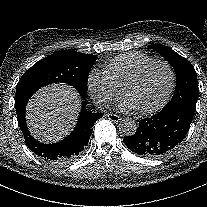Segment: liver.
I'll return each mask as SVG.
<instances>
[{
    "label": "liver",
    "mask_w": 207,
    "mask_h": 207,
    "mask_svg": "<svg viewBox=\"0 0 207 207\" xmlns=\"http://www.w3.org/2000/svg\"><path fill=\"white\" fill-rule=\"evenodd\" d=\"M79 106V96L72 87L63 84L45 87L28 104L29 129L43 142L62 139L75 126Z\"/></svg>",
    "instance_id": "1"
}]
</instances>
